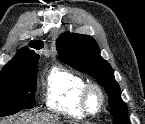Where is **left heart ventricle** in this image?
I'll use <instances>...</instances> for the list:
<instances>
[{
    "label": "left heart ventricle",
    "mask_w": 145,
    "mask_h": 124,
    "mask_svg": "<svg viewBox=\"0 0 145 124\" xmlns=\"http://www.w3.org/2000/svg\"><path fill=\"white\" fill-rule=\"evenodd\" d=\"M96 105H97V97H96V96H93V97L91 98V106H92L93 108H95Z\"/></svg>",
    "instance_id": "b2bd125f"
}]
</instances>
